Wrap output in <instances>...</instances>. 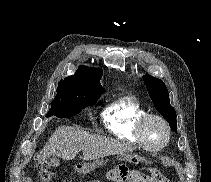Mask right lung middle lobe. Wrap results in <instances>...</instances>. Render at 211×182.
Instances as JSON below:
<instances>
[{
	"label": "right lung middle lobe",
	"instance_id": "1",
	"mask_svg": "<svg viewBox=\"0 0 211 182\" xmlns=\"http://www.w3.org/2000/svg\"><path fill=\"white\" fill-rule=\"evenodd\" d=\"M103 93L64 79L58 83L57 96L51 103V108L46 116L72 117L93 104Z\"/></svg>",
	"mask_w": 211,
	"mask_h": 182
}]
</instances>
